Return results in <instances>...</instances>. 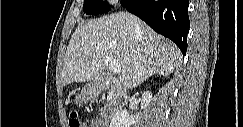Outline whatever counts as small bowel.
Instances as JSON below:
<instances>
[{"label":"small bowel","instance_id":"small-bowel-1","mask_svg":"<svg viewBox=\"0 0 243 127\" xmlns=\"http://www.w3.org/2000/svg\"><path fill=\"white\" fill-rule=\"evenodd\" d=\"M87 125L84 124V127H86ZM90 127H105L104 123L101 122V120L99 119H94L91 124Z\"/></svg>","mask_w":243,"mask_h":127}]
</instances>
